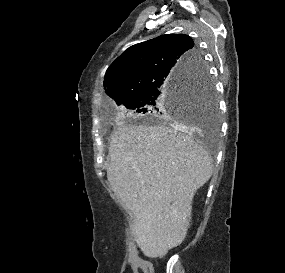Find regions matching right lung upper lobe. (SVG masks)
Here are the masks:
<instances>
[{"instance_id": "cb5924a9", "label": "right lung upper lobe", "mask_w": 285, "mask_h": 273, "mask_svg": "<svg viewBox=\"0 0 285 273\" xmlns=\"http://www.w3.org/2000/svg\"><path fill=\"white\" fill-rule=\"evenodd\" d=\"M203 65L188 35H161L131 46L110 65L105 92L120 105L155 86L196 73Z\"/></svg>"}]
</instances>
